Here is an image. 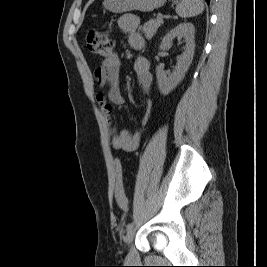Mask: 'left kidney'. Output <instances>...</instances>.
Wrapping results in <instances>:
<instances>
[{
  "instance_id": "left-kidney-1",
  "label": "left kidney",
  "mask_w": 267,
  "mask_h": 267,
  "mask_svg": "<svg viewBox=\"0 0 267 267\" xmlns=\"http://www.w3.org/2000/svg\"><path fill=\"white\" fill-rule=\"evenodd\" d=\"M194 33L195 28L192 23H181L163 37L160 49L167 48L176 37L183 38L186 46L184 52L178 57L177 65L172 72L165 71L161 65L156 67V77L161 94L168 95L175 89L189 69L195 49Z\"/></svg>"
}]
</instances>
